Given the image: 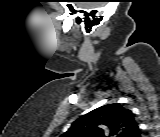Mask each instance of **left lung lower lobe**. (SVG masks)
<instances>
[{"label": "left lung lower lobe", "instance_id": "left-lung-lower-lobe-1", "mask_svg": "<svg viewBox=\"0 0 160 137\" xmlns=\"http://www.w3.org/2000/svg\"><path fill=\"white\" fill-rule=\"evenodd\" d=\"M140 136V131L138 130L137 133L135 134V137H139Z\"/></svg>", "mask_w": 160, "mask_h": 137}]
</instances>
